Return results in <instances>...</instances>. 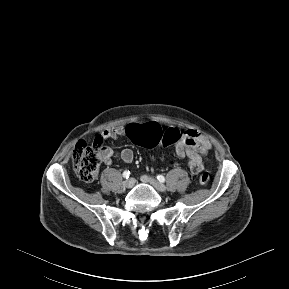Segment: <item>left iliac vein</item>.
<instances>
[{
    "label": "left iliac vein",
    "mask_w": 289,
    "mask_h": 289,
    "mask_svg": "<svg viewBox=\"0 0 289 289\" xmlns=\"http://www.w3.org/2000/svg\"><path fill=\"white\" fill-rule=\"evenodd\" d=\"M141 181L146 183V184L152 185L156 190H158L160 192L166 191V187L164 184H162L161 182H159L158 180H156L150 176H147V175L141 176Z\"/></svg>",
    "instance_id": "1"
}]
</instances>
